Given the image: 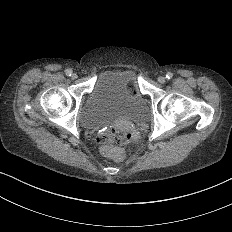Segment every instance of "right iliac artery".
<instances>
[{"instance_id":"right-iliac-artery-1","label":"right iliac artery","mask_w":232,"mask_h":232,"mask_svg":"<svg viewBox=\"0 0 232 232\" xmlns=\"http://www.w3.org/2000/svg\"><path fill=\"white\" fill-rule=\"evenodd\" d=\"M66 75H67V76H71V75H72V71H71L70 69H67V70H66Z\"/></svg>"}]
</instances>
